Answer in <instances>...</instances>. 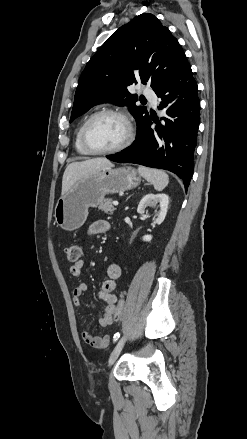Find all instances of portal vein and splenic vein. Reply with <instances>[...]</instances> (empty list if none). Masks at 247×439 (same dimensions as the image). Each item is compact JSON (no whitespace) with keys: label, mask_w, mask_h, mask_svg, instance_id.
<instances>
[{"label":"portal vein and splenic vein","mask_w":247,"mask_h":439,"mask_svg":"<svg viewBox=\"0 0 247 439\" xmlns=\"http://www.w3.org/2000/svg\"><path fill=\"white\" fill-rule=\"evenodd\" d=\"M112 204H113L114 206H118L119 203H118V201H113Z\"/></svg>","instance_id":"1"}]
</instances>
